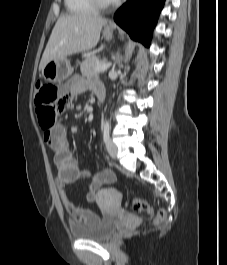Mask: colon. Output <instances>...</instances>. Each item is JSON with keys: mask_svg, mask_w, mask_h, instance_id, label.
<instances>
[{"mask_svg": "<svg viewBox=\"0 0 227 265\" xmlns=\"http://www.w3.org/2000/svg\"><path fill=\"white\" fill-rule=\"evenodd\" d=\"M65 99L61 96L58 86L55 84L38 82L35 88V105L40 126L48 130L54 123L57 114V100ZM126 206L137 213L153 214L152 208L142 199H132L126 202ZM166 218V211L160 209L154 218V223L160 225Z\"/></svg>", "mask_w": 227, "mask_h": 265, "instance_id": "obj_1", "label": "colon"}]
</instances>
